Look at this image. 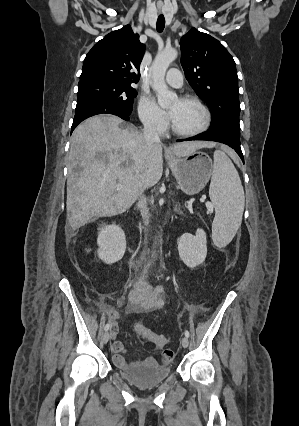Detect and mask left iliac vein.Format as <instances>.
Returning <instances> with one entry per match:
<instances>
[{
	"instance_id": "left-iliac-vein-1",
	"label": "left iliac vein",
	"mask_w": 299,
	"mask_h": 426,
	"mask_svg": "<svg viewBox=\"0 0 299 426\" xmlns=\"http://www.w3.org/2000/svg\"><path fill=\"white\" fill-rule=\"evenodd\" d=\"M181 344H182V346H183L184 348H187V347H188V345H189L188 337L184 336V337L182 338V340H181Z\"/></svg>"
}]
</instances>
